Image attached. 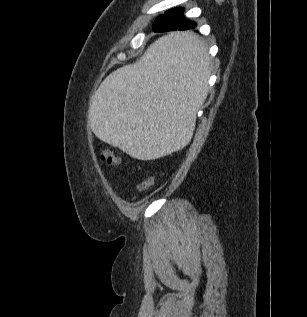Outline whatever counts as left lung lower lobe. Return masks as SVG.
Returning <instances> with one entry per match:
<instances>
[{
    "label": "left lung lower lobe",
    "instance_id": "0a47b994",
    "mask_svg": "<svg viewBox=\"0 0 307 317\" xmlns=\"http://www.w3.org/2000/svg\"><path fill=\"white\" fill-rule=\"evenodd\" d=\"M157 19L155 20L153 24L154 32H168V31H175V30L186 31L180 34L179 36H177L173 41H171L172 49L181 48L187 44H193L196 41V37L192 33L189 32V31H196L197 24L194 21H190L188 24H185V25H178L177 27H172L170 22L165 20L157 21Z\"/></svg>",
    "mask_w": 307,
    "mask_h": 317
}]
</instances>
